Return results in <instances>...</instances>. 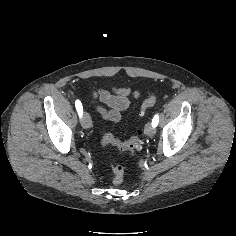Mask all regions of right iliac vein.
I'll list each match as a JSON object with an SVG mask.
<instances>
[{
    "mask_svg": "<svg viewBox=\"0 0 236 236\" xmlns=\"http://www.w3.org/2000/svg\"><path fill=\"white\" fill-rule=\"evenodd\" d=\"M81 124L85 129H89L92 126V121L88 113L84 112L82 119H81Z\"/></svg>",
    "mask_w": 236,
    "mask_h": 236,
    "instance_id": "1",
    "label": "right iliac vein"
}]
</instances>
